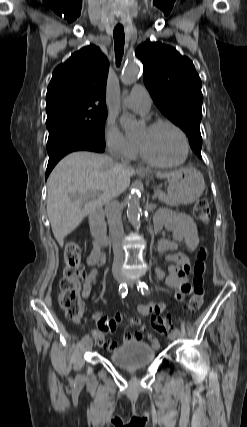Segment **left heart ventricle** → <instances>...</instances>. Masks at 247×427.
<instances>
[{"instance_id": "obj_1", "label": "left heart ventricle", "mask_w": 247, "mask_h": 427, "mask_svg": "<svg viewBox=\"0 0 247 427\" xmlns=\"http://www.w3.org/2000/svg\"><path fill=\"white\" fill-rule=\"evenodd\" d=\"M137 143L143 146L152 159L160 162H176L183 153L180 136L167 126L155 129L144 128L137 138Z\"/></svg>"}]
</instances>
